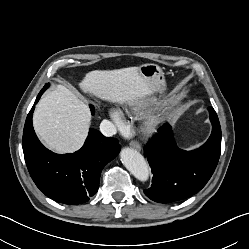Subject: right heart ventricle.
Listing matches in <instances>:
<instances>
[{"label":"right heart ventricle","instance_id":"e07e8e85","mask_svg":"<svg viewBox=\"0 0 249 249\" xmlns=\"http://www.w3.org/2000/svg\"><path fill=\"white\" fill-rule=\"evenodd\" d=\"M146 107L145 106H139V107H135L130 109V112L136 114V115H140L142 113H144Z\"/></svg>","mask_w":249,"mask_h":249}]
</instances>
